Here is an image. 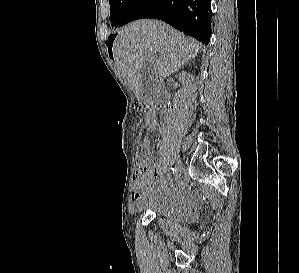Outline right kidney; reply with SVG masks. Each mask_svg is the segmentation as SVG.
Listing matches in <instances>:
<instances>
[{
  "mask_svg": "<svg viewBox=\"0 0 299 273\" xmlns=\"http://www.w3.org/2000/svg\"><path fill=\"white\" fill-rule=\"evenodd\" d=\"M187 76H190V75L187 74L186 72H183V73L179 76V79H180L181 81H184L185 78H186Z\"/></svg>",
  "mask_w": 299,
  "mask_h": 273,
  "instance_id": "obj_1",
  "label": "right kidney"
}]
</instances>
